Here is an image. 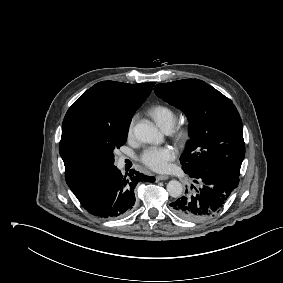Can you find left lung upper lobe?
Listing matches in <instances>:
<instances>
[{
  "instance_id": "5c2ea615",
  "label": "left lung upper lobe",
  "mask_w": 283,
  "mask_h": 283,
  "mask_svg": "<svg viewBox=\"0 0 283 283\" xmlns=\"http://www.w3.org/2000/svg\"><path fill=\"white\" fill-rule=\"evenodd\" d=\"M154 91L188 117L191 140L180 158L184 171L240 175L245 156L243 125L229 98L198 79L157 84Z\"/></svg>"
}]
</instances>
